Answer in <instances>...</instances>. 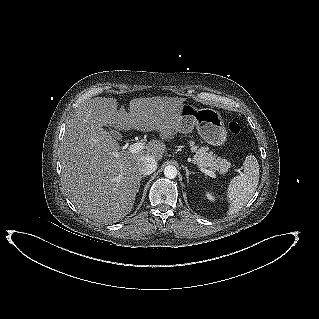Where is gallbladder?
I'll list each match as a JSON object with an SVG mask.
<instances>
[{
    "label": "gallbladder",
    "mask_w": 319,
    "mask_h": 319,
    "mask_svg": "<svg viewBox=\"0 0 319 319\" xmlns=\"http://www.w3.org/2000/svg\"><path fill=\"white\" fill-rule=\"evenodd\" d=\"M110 133H111V135H112L114 138H116V139H118V140L121 139V135H120V133H119L118 131H116V130H114V129H110Z\"/></svg>",
    "instance_id": "obj_1"
}]
</instances>
